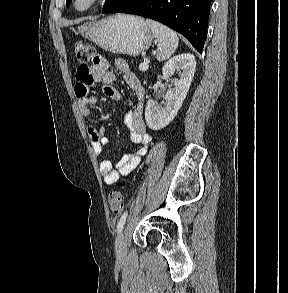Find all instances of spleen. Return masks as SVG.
<instances>
[{
	"instance_id": "obj_1",
	"label": "spleen",
	"mask_w": 288,
	"mask_h": 293,
	"mask_svg": "<svg viewBox=\"0 0 288 293\" xmlns=\"http://www.w3.org/2000/svg\"><path fill=\"white\" fill-rule=\"evenodd\" d=\"M146 22L156 38L157 60L165 61L169 59L178 47L179 38L177 34L165 25L151 19H147Z\"/></svg>"
}]
</instances>
